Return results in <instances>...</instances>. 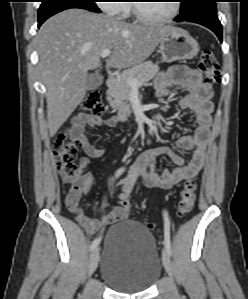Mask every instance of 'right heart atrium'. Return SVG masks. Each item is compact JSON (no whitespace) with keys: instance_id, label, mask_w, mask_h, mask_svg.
Wrapping results in <instances>:
<instances>
[{"instance_id":"1","label":"right heart atrium","mask_w":248,"mask_h":299,"mask_svg":"<svg viewBox=\"0 0 248 299\" xmlns=\"http://www.w3.org/2000/svg\"><path fill=\"white\" fill-rule=\"evenodd\" d=\"M122 0H100L99 6L107 14L121 16L127 12L126 4Z\"/></svg>"}]
</instances>
